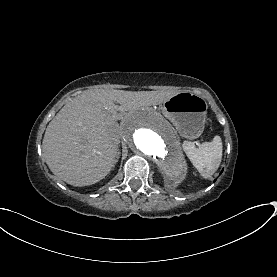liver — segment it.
Segmentation results:
<instances>
[{
	"label": "liver",
	"mask_w": 277,
	"mask_h": 277,
	"mask_svg": "<svg viewBox=\"0 0 277 277\" xmlns=\"http://www.w3.org/2000/svg\"><path fill=\"white\" fill-rule=\"evenodd\" d=\"M171 92L92 90L76 96L47 126L42 148L52 173L76 187L93 185L115 166L122 120L142 107L157 106ZM116 103L120 104L117 106ZM121 110L123 115H118Z\"/></svg>",
	"instance_id": "liver-1"
}]
</instances>
